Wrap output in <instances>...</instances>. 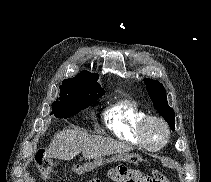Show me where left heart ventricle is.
Instances as JSON below:
<instances>
[{
    "mask_svg": "<svg viewBox=\"0 0 211 182\" xmlns=\"http://www.w3.org/2000/svg\"><path fill=\"white\" fill-rule=\"evenodd\" d=\"M146 137L150 145H158L165 138V131L158 122H151L146 127Z\"/></svg>",
    "mask_w": 211,
    "mask_h": 182,
    "instance_id": "b2bd125f",
    "label": "left heart ventricle"
}]
</instances>
